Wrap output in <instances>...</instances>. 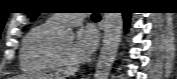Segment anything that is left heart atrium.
Here are the masks:
<instances>
[{"mask_svg":"<svg viewBox=\"0 0 177 79\" xmlns=\"http://www.w3.org/2000/svg\"><path fill=\"white\" fill-rule=\"evenodd\" d=\"M96 42L97 38L93 30L78 31L71 46V57L74 62L77 64L86 61L94 51Z\"/></svg>","mask_w":177,"mask_h":79,"instance_id":"39dd6f15","label":"left heart atrium"}]
</instances>
